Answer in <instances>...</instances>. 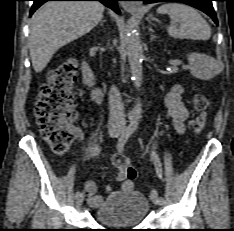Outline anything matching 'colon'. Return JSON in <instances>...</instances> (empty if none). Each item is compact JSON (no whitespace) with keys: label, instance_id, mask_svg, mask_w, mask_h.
<instances>
[{"label":"colon","instance_id":"obj_1","mask_svg":"<svg viewBox=\"0 0 234 231\" xmlns=\"http://www.w3.org/2000/svg\"><path fill=\"white\" fill-rule=\"evenodd\" d=\"M76 75L75 60L66 59L48 73L35 104V116L41 134L57 154L65 153L74 139L71 123L76 117L73 104ZM193 103L197 111L194 129L196 132H201L208 122L211 101L205 94L197 93ZM114 164L118 168V180L135 179L136 172L127 157L116 155Z\"/></svg>","mask_w":234,"mask_h":231}]
</instances>
